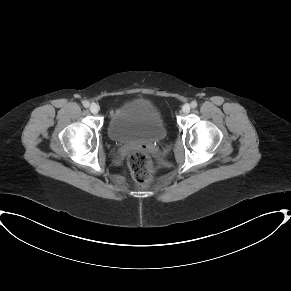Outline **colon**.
<instances>
[{"mask_svg": "<svg viewBox=\"0 0 291 291\" xmlns=\"http://www.w3.org/2000/svg\"><path fill=\"white\" fill-rule=\"evenodd\" d=\"M128 165L137 186L143 187L152 181L154 171L147 152L144 150L131 152L128 156Z\"/></svg>", "mask_w": 291, "mask_h": 291, "instance_id": "5ec220e1", "label": "colon"}]
</instances>
